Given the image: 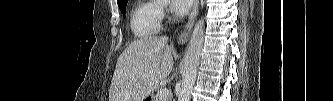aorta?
I'll use <instances>...</instances> for the list:
<instances>
[{
    "instance_id": "obj_1",
    "label": "aorta",
    "mask_w": 333,
    "mask_h": 101,
    "mask_svg": "<svg viewBox=\"0 0 333 101\" xmlns=\"http://www.w3.org/2000/svg\"><path fill=\"white\" fill-rule=\"evenodd\" d=\"M204 20H199L193 30L184 58V72L178 101H189L197 76L204 41Z\"/></svg>"
}]
</instances>
